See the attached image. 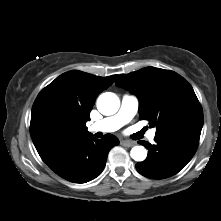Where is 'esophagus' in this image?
<instances>
[{"label":"esophagus","mask_w":221,"mask_h":221,"mask_svg":"<svg viewBox=\"0 0 221 221\" xmlns=\"http://www.w3.org/2000/svg\"><path fill=\"white\" fill-rule=\"evenodd\" d=\"M121 144L125 147H132L135 145V142H132V141H128V140H123L121 141Z\"/></svg>","instance_id":"34e87169"}]
</instances>
